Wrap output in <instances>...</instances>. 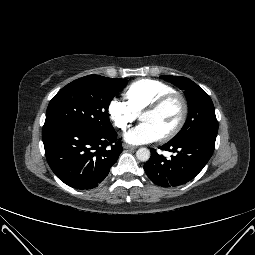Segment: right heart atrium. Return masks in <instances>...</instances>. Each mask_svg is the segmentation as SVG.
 I'll list each match as a JSON object with an SVG mask.
<instances>
[{
  "label": "right heart atrium",
  "mask_w": 255,
  "mask_h": 255,
  "mask_svg": "<svg viewBox=\"0 0 255 255\" xmlns=\"http://www.w3.org/2000/svg\"><path fill=\"white\" fill-rule=\"evenodd\" d=\"M107 111L113 124L121 131L127 130L137 117L127 102L119 99H112Z\"/></svg>",
  "instance_id": "d8ad5b80"
}]
</instances>
